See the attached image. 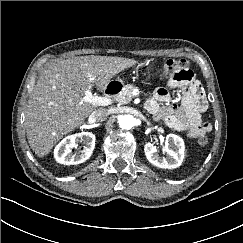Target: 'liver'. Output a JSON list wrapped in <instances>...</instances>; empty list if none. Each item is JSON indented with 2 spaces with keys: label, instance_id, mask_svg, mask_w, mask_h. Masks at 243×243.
Masks as SVG:
<instances>
[{
  "label": "liver",
  "instance_id": "liver-1",
  "mask_svg": "<svg viewBox=\"0 0 243 243\" xmlns=\"http://www.w3.org/2000/svg\"><path fill=\"white\" fill-rule=\"evenodd\" d=\"M134 64L129 58L89 55L48 66L37 80L25 112L27 139L35 154L47 155L96 109L82 100L88 86L103 91L111 78Z\"/></svg>",
  "mask_w": 243,
  "mask_h": 243
}]
</instances>
